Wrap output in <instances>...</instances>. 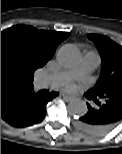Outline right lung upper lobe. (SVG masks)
Returning a JSON list of instances; mask_svg holds the SVG:
<instances>
[{"mask_svg":"<svg viewBox=\"0 0 122 154\" xmlns=\"http://www.w3.org/2000/svg\"><path fill=\"white\" fill-rule=\"evenodd\" d=\"M70 33L16 25L1 32V102L33 87V73L44 66Z\"/></svg>","mask_w":122,"mask_h":154,"instance_id":"obj_1","label":"right lung upper lobe"}]
</instances>
